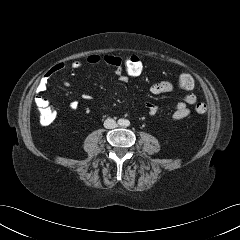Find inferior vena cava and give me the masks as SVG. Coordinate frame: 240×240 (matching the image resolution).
<instances>
[{"instance_id": "602c4592", "label": "inferior vena cava", "mask_w": 240, "mask_h": 240, "mask_svg": "<svg viewBox=\"0 0 240 240\" xmlns=\"http://www.w3.org/2000/svg\"><path fill=\"white\" fill-rule=\"evenodd\" d=\"M104 127L106 129H113V128H116L117 127V123L114 119L112 118H107L105 121H104Z\"/></svg>"}]
</instances>
